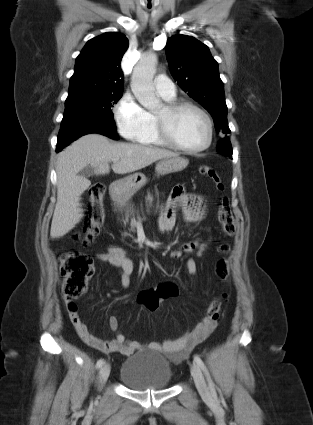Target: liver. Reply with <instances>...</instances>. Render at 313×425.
<instances>
[{"label":"liver","mask_w":313,"mask_h":425,"mask_svg":"<svg viewBox=\"0 0 313 425\" xmlns=\"http://www.w3.org/2000/svg\"><path fill=\"white\" fill-rule=\"evenodd\" d=\"M172 151L131 143H111L100 134L82 136L58 154L57 157V203L50 236L60 238L71 231L83 218L80 196L91 182L78 173L91 166L96 174H108L109 162L114 173L126 174L143 169L160 159L177 157Z\"/></svg>","instance_id":"obj_1"}]
</instances>
